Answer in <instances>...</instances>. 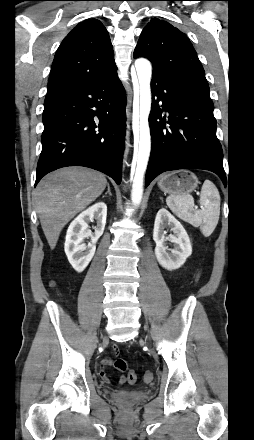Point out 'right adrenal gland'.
<instances>
[{
    "instance_id": "1",
    "label": "right adrenal gland",
    "mask_w": 254,
    "mask_h": 440,
    "mask_svg": "<svg viewBox=\"0 0 254 440\" xmlns=\"http://www.w3.org/2000/svg\"><path fill=\"white\" fill-rule=\"evenodd\" d=\"M107 194H109V196H112L109 183H107V192L102 197L104 198Z\"/></svg>"
}]
</instances>
